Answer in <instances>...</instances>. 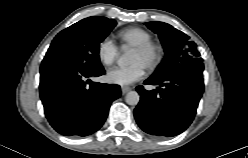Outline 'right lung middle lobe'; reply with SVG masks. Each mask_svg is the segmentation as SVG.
I'll list each match as a JSON object with an SVG mask.
<instances>
[{
    "instance_id": "right-lung-middle-lobe-1",
    "label": "right lung middle lobe",
    "mask_w": 248,
    "mask_h": 158,
    "mask_svg": "<svg viewBox=\"0 0 248 158\" xmlns=\"http://www.w3.org/2000/svg\"><path fill=\"white\" fill-rule=\"evenodd\" d=\"M115 25V20L106 17L85 18L62 30L52 41L45 57H59L83 63L100 62L99 44Z\"/></svg>"
}]
</instances>
